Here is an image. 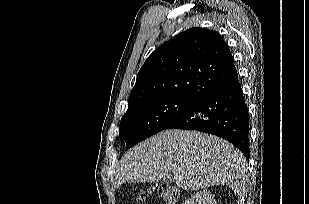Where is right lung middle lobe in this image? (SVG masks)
Segmentation results:
<instances>
[{"label": "right lung middle lobe", "mask_w": 309, "mask_h": 204, "mask_svg": "<svg viewBox=\"0 0 309 204\" xmlns=\"http://www.w3.org/2000/svg\"><path fill=\"white\" fill-rule=\"evenodd\" d=\"M198 100L196 97L162 96L131 104L121 118L120 139L130 148L164 130Z\"/></svg>", "instance_id": "obj_1"}]
</instances>
